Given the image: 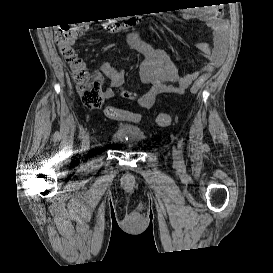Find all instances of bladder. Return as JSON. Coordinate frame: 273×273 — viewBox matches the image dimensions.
I'll return each instance as SVG.
<instances>
[{"mask_svg":"<svg viewBox=\"0 0 273 273\" xmlns=\"http://www.w3.org/2000/svg\"><path fill=\"white\" fill-rule=\"evenodd\" d=\"M113 143L125 148H137L145 142L144 133L131 124H120L111 136Z\"/></svg>","mask_w":273,"mask_h":273,"instance_id":"1","label":"bladder"}]
</instances>
